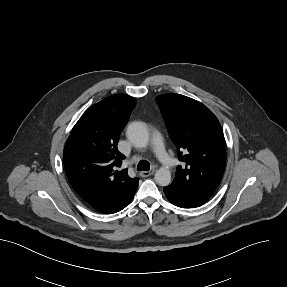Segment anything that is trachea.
I'll return each instance as SVG.
<instances>
[{
    "label": "trachea",
    "mask_w": 287,
    "mask_h": 287,
    "mask_svg": "<svg viewBox=\"0 0 287 287\" xmlns=\"http://www.w3.org/2000/svg\"><path fill=\"white\" fill-rule=\"evenodd\" d=\"M138 171H149L150 170V164L146 160H141L137 165Z\"/></svg>",
    "instance_id": "3493384b"
}]
</instances>
